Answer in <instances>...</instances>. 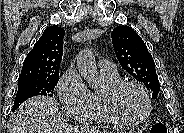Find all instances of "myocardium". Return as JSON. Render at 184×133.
<instances>
[{"mask_svg":"<svg viewBox=\"0 0 184 133\" xmlns=\"http://www.w3.org/2000/svg\"><path fill=\"white\" fill-rule=\"evenodd\" d=\"M133 87L138 89L145 98L146 101V111L143 116L139 119H128L123 117L119 114L117 107H116V100L118 95L126 88ZM102 103L105 109V112L113 121L114 124H122L128 126H137L144 123L150 116L152 111V100L145 89L144 86L135 82V81H127V80H120L119 82L106 86L102 91Z\"/></svg>","mask_w":184,"mask_h":133,"instance_id":"obj_1","label":"myocardium"}]
</instances>
